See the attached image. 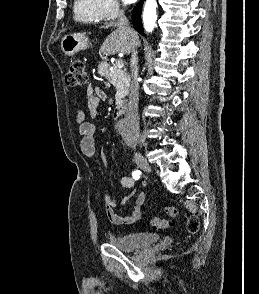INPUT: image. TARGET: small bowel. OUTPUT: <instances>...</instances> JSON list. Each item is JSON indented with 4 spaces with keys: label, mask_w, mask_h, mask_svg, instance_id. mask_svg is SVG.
I'll use <instances>...</instances> for the list:
<instances>
[{
    "label": "small bowel",
    "mask_w": 259,
    "mask_h": 294,
    "mask_svg": "<svg viewBox=\"0 0 259 294\" xmlns=\"http://www.w3.org/2000/svg\"><path fill=\"white\" fill-rule=\"evenodd\" d=\"M106 99V93L101 88L87 87V109L92 117L98 115L100 103ZM75 123L77 125L78 134L82 137L80 147L81 152L86 157H93L95 155V131L94 124L86 121L85 112L78 109L75 112ZM119 183L124 188H132L135 181L130 176H123L119 179ZM134 195V192L128 193L121 200H115L111 196H104V210L108 220L114 225H129L133 224L141 218L142 206L145 201L144 192H138L132 204V210L127 215L118 214L115 208L119 205L127 203V201Z\"/></svg>",
    "instance_id": "c3829d8e"
}]
</instances>
